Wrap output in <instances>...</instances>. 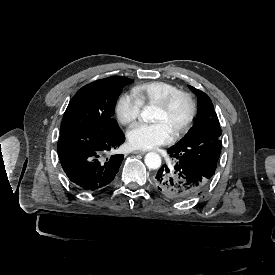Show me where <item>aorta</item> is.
Segmentation results:
<instances>
[{"label":"aorta","instance_id":"1","mask_svg":"<svg viewBox=\"0 0 275 275\" xmlns=\"http://www.w3.org/2000/svg\"><path fill=\"white\" fill-rule=\"evenodd\" d=\"M161 111L151 105H145L141 111V119L144 122H154ZM145 164L149 169L155 170L161 166V157L159 154L150 152L145 156Z\"/></svg>","mask_w":275,"mask_h":275}]
</instances>
